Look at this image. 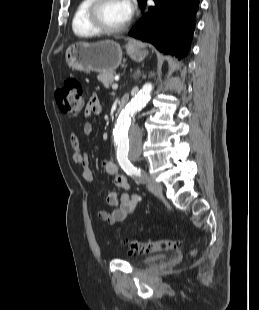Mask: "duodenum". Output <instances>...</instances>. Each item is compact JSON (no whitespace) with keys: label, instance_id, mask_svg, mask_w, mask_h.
I'll use <instances>...</instances> for the list:
<instances>
[{"label":"duodenum","instance_id":"410a0bca","mask_svg":"<svg viewBox=\"0 0 259 310\" xmlns=\"http://www.w3.org/2000/svg\"><path fill=\"white\" fill-rule=\"evenodd\" d=\"M128 102H129V98L127 96L122 97L120 100V104H119V110L120 111L124 110Z\"/></svg>","mask_w":259,"mask_h":310}]
</instances>
